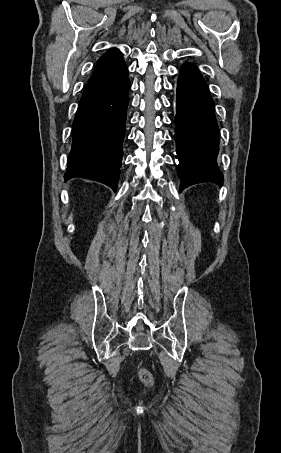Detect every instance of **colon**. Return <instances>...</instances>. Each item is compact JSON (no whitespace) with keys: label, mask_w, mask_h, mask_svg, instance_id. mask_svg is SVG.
I'll use <instances>...</instances> for the list:
<instances>
[{"label":"colon","mask_w":281,"mask_h":453,"mask_svg":"<svg viewBox=\"0 0 281 453\" xmlns=\"http://www.w3.org/2000/svg\"><path fill=\"white\" fill-rule=\"evenodd\" d=\"M134 371L140 377L147 378L149 376V371L143 366H136Z\"/></svg>","instance_id":"colon-1"}]
</instances>
